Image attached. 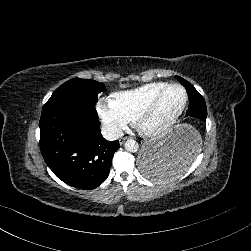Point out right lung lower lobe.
Masks as SVG:
<instances>
[{
	"instance_id": "98d812e1",
	"label": "right lung lower lobe",
	"mask_w": 251,
	"mask_h": 251,
	"mask_svg": "<svg viewBox=\"0 0 251 251\" xmlns=\"http://www.w3.org/2000/svg\"><path fill=\"white\" fill-rule=\"evenodd\" d=\"M119 141L100 132L94 106L80 102L44 105L40 149L52 172L64 183L90 190L106 180Z\"/></svg>"
}]
</instances>
